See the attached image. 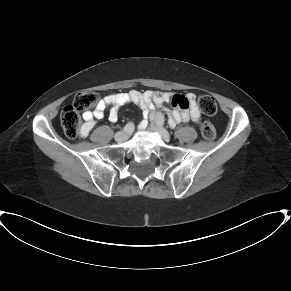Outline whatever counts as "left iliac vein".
Here are the masks:
<instances>
[{"label":"left iliac vein","instance_id":"4c4485c4","mask_svg":"<svg viewBox=\"0 0 291 291\" xmlns=\"http://www.w3.org/2000/svg\"><path fill=\"white\" fill-rule=\"evenodd\" d=\"M150 128L153 131H156L164 140L167 141L170 139V135H169L168 131L166 129H164L162 126L155 124V123H151Z\"/></svg>","mask_w":291,"mask_h":291}]
</instances>
